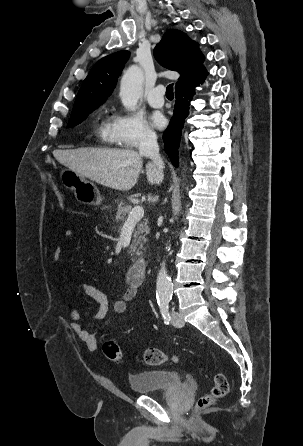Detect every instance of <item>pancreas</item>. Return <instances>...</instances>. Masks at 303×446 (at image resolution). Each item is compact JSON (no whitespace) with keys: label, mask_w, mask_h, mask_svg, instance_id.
<instances>
[{"label":"pancreas","mask_w":303,"mask_h":446,"mask_svg":"<svg viewBox=\"0 0 303 446\" xmlns=\"http://www.w3.org/2000/svg\"><path fill=\"white\" fill-rule=\"evenodd\" d=\"M131 210V205L120 202L116 212V222L123 223L126 220L127 215L130 214ZM147 223L148 222L146 220L145 222L138 224L137 230L134 232V240L130 246L129 253H136L137 256L142 254L141 250L143 249V243L146 242L145 236L149 233Z\"/></svg>","instance_id":"cf45deb5"}]
</instances>
